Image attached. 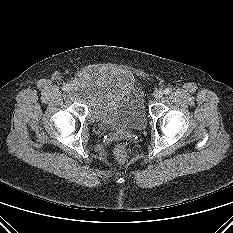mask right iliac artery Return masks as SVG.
Returning a JSON list of instances; mask_svg holds the SVG:
<instances>
[{"label":"right iliac artery","mask_w":233,"mask_h":233,"mask_svg":"<svg viewBox=\"0 0 233 233\" xmlns=\"http://www.w3.org/2000/svg\"><path fill=\"white\" fill-rule=\"evenodd\" d=\"M68 89H69V86H68L67 84L63 86V90L66 91V90H68Z\"/></svg>","instance_id":"82829eb1"}]
</instances>
